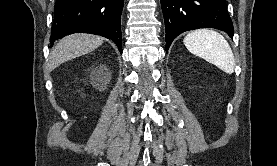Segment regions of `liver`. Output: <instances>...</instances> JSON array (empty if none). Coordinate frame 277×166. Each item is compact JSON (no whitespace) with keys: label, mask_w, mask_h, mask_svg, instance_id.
Masks as SVG:
<instances>
[{"label":"liver","mask_w":277,"mask_h":166,"mask_svg":"<svg viewBox=\"0 0 277 166\" xmlns=\"http://www.w3.org/2000/svg\"><path fill=\"white\" fill-rule=\"evenodd\" d=\"M103 38L91 34H72L64 37L52 49L48 64L49 71L62 63L90 53L103 44Z\"/></svg>","instance_id":"6515ba94"}]
</instances>
